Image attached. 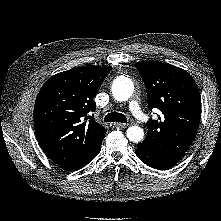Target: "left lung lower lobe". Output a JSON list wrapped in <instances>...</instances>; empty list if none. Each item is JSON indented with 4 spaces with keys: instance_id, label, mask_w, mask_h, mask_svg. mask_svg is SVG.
I'll return each mask as SVG.
<instances>
[{
    "instance_id": "1",
    "label": "left lung lower lobe",
    "mask_w": 221,
    "mask_h": 221,
    "mask_svg": "<svg viewBox=\"0 0 221 221\" xmlns=\"http://www.w3.org/2000/svg\"><path fill=\"white\" fill-rule=\"evenodd\" d=\"M136 155L146 165L152 168L158 169V170H164V169L170 168L174 166L176 163H178L179 161L177 159L169 158L167 156L158 154L146 148L141 143L137 145Z\"/></svg>"
}]
</instances>
